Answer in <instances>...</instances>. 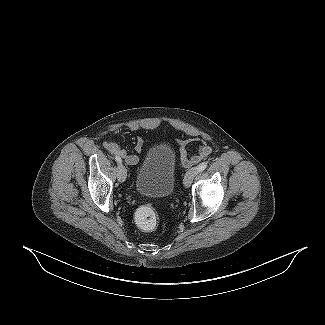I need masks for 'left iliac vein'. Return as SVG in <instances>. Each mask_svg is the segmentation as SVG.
Segmentation results:
<instances>
[{
    "instance_id": "4c4485c4",
    "label": "left iliac vein",
    "mask_w": 325,
    "mask_h": 325,
    "mask_svg": "<svg viewBox=\"0 0 325 325\" xmlns=\"http://www.w3.org/2000/svg\"><path fill=\"white\" fill-rule=\"evenodd\" d=\"M197 174H198V168L196 167L188 170L184 176V180H183L184 186L189 187L192 181L194 180V178L197 176Z\"/></svg>"
}]
</instances>
